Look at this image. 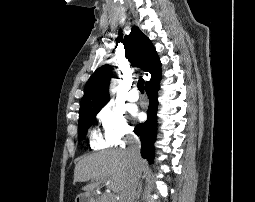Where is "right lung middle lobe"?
I'll return each mask as SVG.
<instances>
[{
  "mask_svg": "<svg viewBox=\"0 0 255 202\" xmlns=\"http://www.w3.org/2000/svg\"><path fill=\"white\" fill-rule=\"evenodd\" d=\"M100 111V109H90L86 111L79 112V123L78 127L80 129V134L82 139H85L87 129L91 125L94 120L96 114Z\"/></svg>",
  "mask_w": 255,
  "mask_h": 202,
  "instance_id": "right-lung-middle-lobe-1",
  "label": "right lung middle lobe"
}]
</instances>
